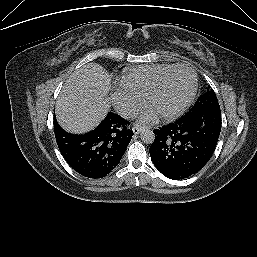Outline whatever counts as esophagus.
I'll use <instances>...</instances> for the list:
<instances>
[{"instance_id": "obj_1", "label": "esophagus", "mask_w": 257, "mask_h": 257, "mask_svg": "<svg viewBox=\"0 0 257 257\" xmlns=\"http://www.w3.org/2000/svg\"><path fill=\"white\" fill-rule=\"evenodd\" d=\"M142 131V128L138 127V126H134L133 127V132L134 134H139Z\"/></svg>"}]
</instances>
